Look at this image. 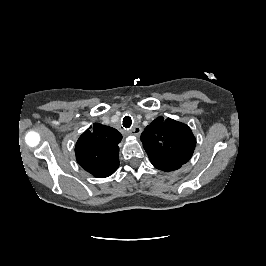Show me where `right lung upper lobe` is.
<instances>
[{"mask_svg": "<svg viewBox=\"0 0 266 266\" xmlns=\"http://www.w3.org/2000/svg\"><path fill=\"white\" fill-rule=\"evenodd\" d=\"M122 135L114 128L94 123L78 139L77 162L95 177L105 178L119 167L118 144Z\"/></svg>", "mask_w": 266, "mask_h": 266, "instance_id": "cb5924a9", "label": "right lung upper lobe"}]
</instances>
